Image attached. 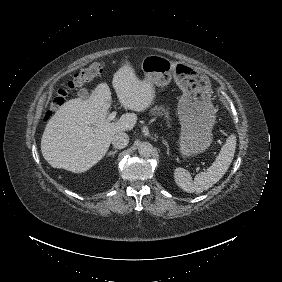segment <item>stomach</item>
<instances>
[{"label": "stomach", "instance_id": "stomach-1", "mask_svg": "<svg viewBox=\"0 0 282 282\" xmlns=\"http://www.w3.org/2000/svg\"><path fill=\"white\" fill-rule=\"evenodd\" d=\"M144 78L149 87H167L172 80L182 90L178 103L181 121V145L186 153L194 154L208 147L215 123V111L210 99V78L189 64L171 60L159 54H148L140 63Z\"/></svg>", "mask_w": 282, "mask_h": 282}]
</instances>
